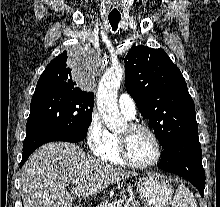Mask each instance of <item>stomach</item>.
I'll return each mask as SVG.
<instances>
[{
  "mask_svg": "<svg viewBox=\"0 0 220 207\" xmlns=\"http://www.w3.org/2000/svg\"><path fill=\"white\" fill-rule=\"evenodd\" d=\"M136 187L146 207H167L172 199V185L157 173H148L139 178Z\"/></svg>",
  "mask_w": 220,
  "mask_h": 207,
  "instance_id": "stomach-1",
  "label": "stomach"
}]
</instances>
